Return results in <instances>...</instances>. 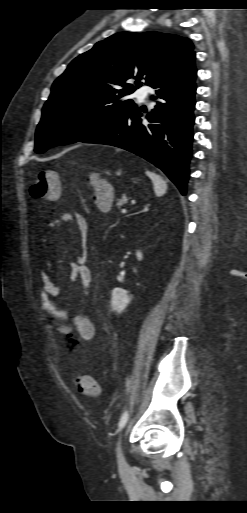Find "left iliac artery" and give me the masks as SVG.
Returning a JSON list of instances; mask_svg holds the SVG:
<instances>
[{
    "instance_id": "left-iliac-artery-1",
    "label": "left iliac artery",
    "mask_w": 247,
    "mask_h": 513,
    "mask_svg": "<svg viewBox=\"0 0 247 513\" xmlns=\"http://www.w3.org/2000/svg\"><path fill=\"white\" fill-rule=\"evenodd\" d=\"M127 387H128V391H129V389H130V380L129 379L127 380ZM128 416H129L128 411L125 410L120 418L119 423H118V430H121L126 425Z\"/></svg>"
}]
</instances>
